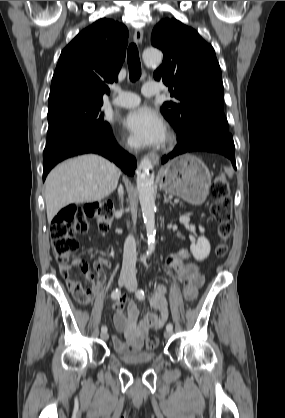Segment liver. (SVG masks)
I'll return each instance as SVG.
<instances>
[{
	"mask_svg": "<svg viewBox=\"0 0 285 418\" xmlns=\"http://www.w3.org/2000/svg\"><path fill=\"white\" fill-rule=\"evenodd\" d=\"M120 170L105 158L86 154L56 166L45 181V203L50 223L72 203L100 201L117 187Z\"/></svg>",
	"mask_w": 285,
	"mask_h": 418,
	"instance_id": "liver-1",
	"label": "liver"
}]
</instances>
